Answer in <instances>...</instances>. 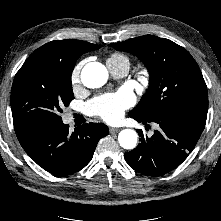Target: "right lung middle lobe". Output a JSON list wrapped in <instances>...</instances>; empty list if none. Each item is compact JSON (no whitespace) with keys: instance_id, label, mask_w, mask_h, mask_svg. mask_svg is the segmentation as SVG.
<instances>
[{"instance_id":"obj_1","label":"right lung middle lobe","mask_w":221,"mask_h":221,"mask_svg":"<svg viewBox=\"0 0 221 221\" xmlns=\"http://www.w3.org/2000/svg\"><path fill=\"white\" fill-rule=\"evenodd\" d=\"M77 58L34 51L17 72L11 90L15 131L62 122L60 113L74 99L71 75Z\"/></svg>"}]
</instances>
